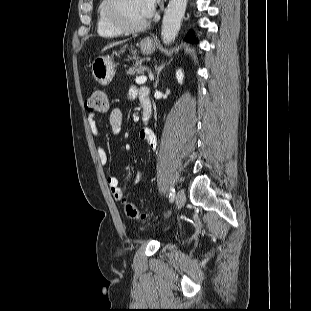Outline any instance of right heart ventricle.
Masks as SVG:
<instances>
[{
  "label": "right heart ventricle",
  "mask_w": 311,
  "mask_h": 311,
  "mask_svg": "<svg viewBox=\"0 0 311 311\" xmlns=\"http://www.w3.org/2000/svg\"><path fill=\"white\" fill-rule=\"evenodd\" d=\"M106 0H99L96 10V31L103 37H116L120 36L122 32L113 27L105 16Z\"/></svg>",
  "instance_id": "right-heart-ventricle-1"
}]
</instances>
